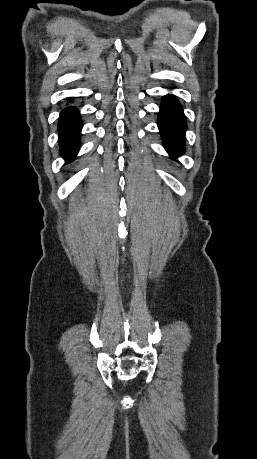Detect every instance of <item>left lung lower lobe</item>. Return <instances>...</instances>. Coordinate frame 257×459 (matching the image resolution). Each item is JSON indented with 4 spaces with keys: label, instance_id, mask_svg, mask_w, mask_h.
<instances>
[{
    "label": "left lung lower lobe",
    "instance_id": "1",
    "mask_svg": "<svg viewBox=\"0 0 257 459\" xmlns=\"http://www.w3.org/2000/svg\"><path fill=\"white\" fill-rule=\"evenodd\" d=\"M158 126L166 150L174 156L184 151L186 119L179 101L173 95H167L162 104Z\"/></svg>",
    "mask_w": 257,
    "mask_h": 459
}]
</instances>
